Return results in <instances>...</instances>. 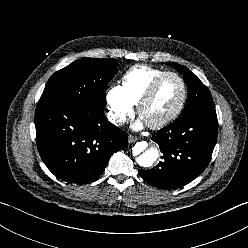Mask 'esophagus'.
<instances>
[{
    "label": "esophagus",
    "instance_id": "34e87169",
    "mask_svg": "<svg viewBox=\"0 0 248 248\" xmlns=\"http://www.w3.org/2000/svg\"><path fill=\"white\" fill-rule=\"evenodd\" d=\"M128 141H129V143H134V142L138 141V138L133 136V135H129Z\"/></svg>",
    "mask_w": 248,
    "mask_h": 248
}]
</instances>
